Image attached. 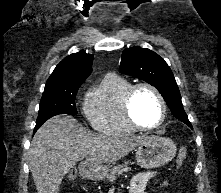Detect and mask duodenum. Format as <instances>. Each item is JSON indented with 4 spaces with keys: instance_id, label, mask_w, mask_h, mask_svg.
<instances>
[{
    "instance_id": "1",
    "label": "duodenum",
    "mask_w": 221,
    "mask_h": 193,
    "mask_svg": "<svg viewBox=\"0 0 221 193\" xmlns=\"http://www.w3.org/2000/svg\"><path fill=\"white\" fill-rule=\"evenodd\" d=\"M89 167L90 166L88 164H83L82 165V169L85 170V171L89 170Z\"/></svg>"
}]
</instances>
